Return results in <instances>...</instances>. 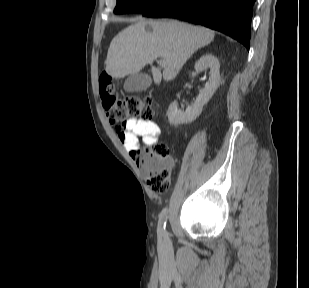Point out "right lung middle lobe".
I'll list each match as a JSON object with an SVG mask.
<instances>
[{
	"mask_svg": "<svg viewBox=\"0 0 309 288\" xmlns=\"http://www.w3.org/2000/svg\"><path fill=\"white\" fill-rule=\"evenodd\" d=\"M163 0H117L114 10L116 14L124 13H143Z\"/></svg>",
	"mask_w": 309,
	"mask_h": 288,
	"instance_id": "obj_1",
	"label": "right lung middle lobe"
}]
</instances>
